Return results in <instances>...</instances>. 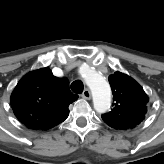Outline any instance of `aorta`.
<instances>
[{
    "label": "aorta",
    "instance_id": "aorta-1",
    "mask_svg": "<svg viewBox=\"0 0 164 164\" xmlns=\"http://www.w3.org/2000/svg\"><path fill=\"white\" fill-rule=\"evenodd\" d=\"M92 95L95 105L98 108L106 109L110 104V90L107 83L101 78H94L90 81Z\"/></svg>",
    "mask_w": 164,
    "mask_h": 164
}]
</instances>
